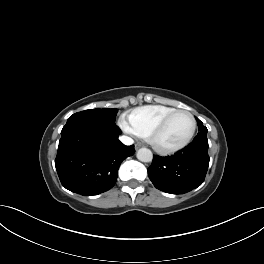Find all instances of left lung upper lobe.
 <instances>
[{
    "label": "left lung upper lobe",
    "instance_id": "5c2ea615",
    "mask_svg": "<svg viewBox=\"0 0 264 264\" xmlns=\"http://www.w3.org/2000/svg\"><path fill=\"white\" fill-rule=\"evenodd\" d=\"M196 120L198 123V130H199L198 135L199 136H207V131H208L207 128L205 126H203L202 122L198 118H196Z\"/></svg>",
    "mask_w": 264,
    "mask_h": 264
}]
</instances>
